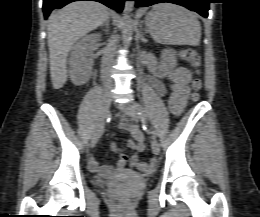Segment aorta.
Segmentation results:
<instances>
[{"label":"aorta","mask_w":260,"mask_h":217,"mask_svg":"<svg viewBox=\"0 0 260 217\" xmlns=\"http://www.w3.org/2000/svg\"><path fill=\"white\" fill-rule=\"evenodd\" d=\"M134 3L126 1L124 4V11L122 17V41L125 46H128L132 40L133 20L130 12L132 11Z\"/></svg>","instance_id":"762f6f07"}]
</instances>
